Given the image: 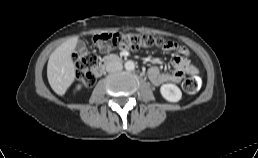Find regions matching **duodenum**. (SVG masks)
<instances>
[{
    "label": "duodenum",
    "mask_w": 258,
    "mask_h": 158,
    "mask_svg": "<svg viewBox=\"0 0 258 158\" xmlns=\"http://www.w3.org/2000/svg\"><path fill=\"white\" fill-rule=\"evenodd\" d=\"M122 60V57L120 56H109L105 59H103L101 62H99L94 68H93V75L95 77H99L101 76L105 69L107 68V66L111 65V64H115L118 63Z\"/></svg>",
    "instance_id": "1"
}]
</instances>
